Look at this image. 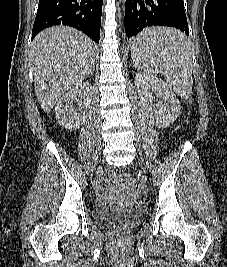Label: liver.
Listing matches in <instances>:
<instances>
[{"label":"liver","instance_id":"obj_1","mask_svg":"<svg viewBox=\"0 0 227 267\" xmlns=\"http://www.w3.org/2000/svg\"><path fill=\"white\" fill-rule=\"evenodd\" d=\"M30 56L36 97L47 113L61 95L82 83L95 61L93 41L68 26L40 32L32 42Z\"/></svg>","mask_w":227,"mask_h":267}]
</instances>
